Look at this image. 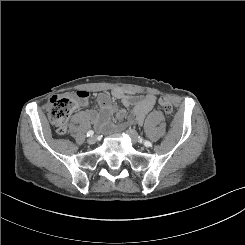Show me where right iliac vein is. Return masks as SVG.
I'll list each match as a JSON object with an SVG mask.
<instances>
[{"instance_id":"obj_1","label":"right iliac vein","mask_w":245,"mask_h":245,"mask_svg":"<svg viewBox=\"0 0 245 245\" xmlns=\"http://www.w3.org/2000/svg\"><path fill=\"white\" fill-rule=\"evenodd\" d=\"M96 141H97L96 136H91V137H89L88 140H87V142H88L89 144H95Z\"/></svg>"}]
</instances>
